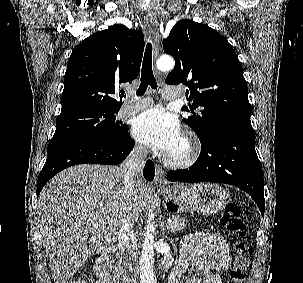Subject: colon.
I'll list each match as a JSON object with an SVG mask.
<instances>
[{
	"label": "colon",
	"instance_id": "colon-1",
	"mask_svg": "<svg viewBox=\"0 0 303 283\" xmlns=\"http://www.w3.org/2000/svg\"><path fill=\"white\" fill-rule=\"evenodd\" d=\"M222 226L229 232L238 236L234 244V262L229 272L227 283H244L246 272L252 256V247L244 239L247 226L241 216L240 207L235 202H229L221 218ZM91 269L85 268L69 283H90Z\"/></svg>",
	"mask_w": 303,
	"mask_h": 283
}]
</instances>
